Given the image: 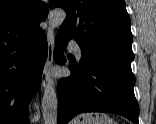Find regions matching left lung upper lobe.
<instances>
[{"label":"left lung upper lobe","instance_id":"left-lung-upper-lobe-1","mask_svg":"<svg viewBox=\"0 0 156 124\" xmlns=\"http://www.w3.org/2000/svg\"><path fill=\"white\" fill-rule=\"evenodd\" d=\"M49 6L66 11L58 33L77 41L80 65L113 59L131 68V21L124 0H49Z\"/></svg>","mask_w":156,"mask_h":124}]
</instances>
